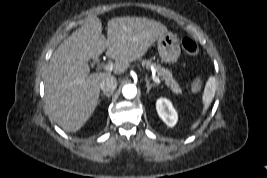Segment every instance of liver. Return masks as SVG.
Here are the masks:
<instances>
[{"mask_svg": "<svg viewBox=\"0 0 267 178\" xmlns=\"http://www.w3.org/2000/svg\"><path fill=\"white\" fill-rule=\"evenodd\" d=\"M168 32L160 22L140 17L112 18L107 39L102 23L89 17L53 53L44 79L47 112L62 129L78 131L97 106L100 83L110 73L90 74L88 61L106 55L115 60L114 73L126 71L155 41Z\"/></svg>", "mask_w": 267, "mask_h": 178, "instance_id": "obj_1", "label": "liver"}]
</instances>
